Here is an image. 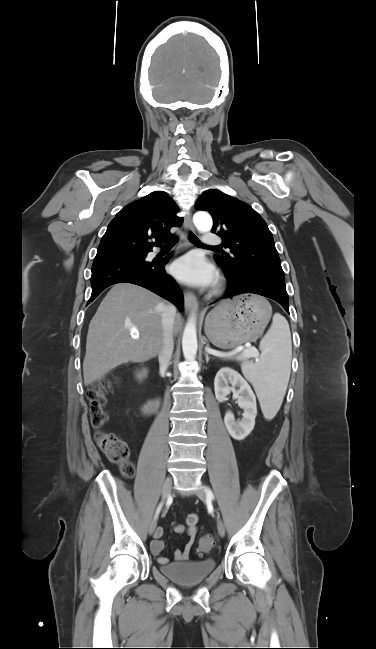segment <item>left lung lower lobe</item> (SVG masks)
I'll use <instances>...</instances> for the list:
<instances>
[{
	"label": "left lung lower lobe",
	"mask_w": 376,
	"mask_h": 649,
	"mask_svg": "<svg viewBox=\"0 0 376 649\" xmlns=\"http://www.w3.org/2000/svg\"><path fill=\"white\" fill-rule=\"evenodd\" d=\"M223 270L228 278L229 290L222 299L245 293L258 294L275 300L289 314L288 294L284 279L260 269H247L239 278H235L229 270L224 268Z\"/></svg>",
	"instance_id": "left-lung-lower-lobe-1"
}]
</instances>
